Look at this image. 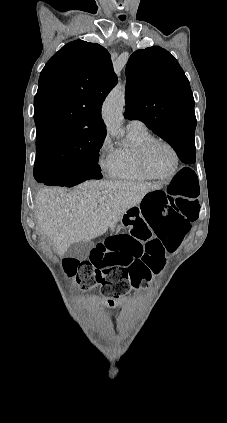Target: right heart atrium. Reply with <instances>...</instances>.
<instances>
[{"label": "right heart atrium", "mask_w": 227, "mask_h": 423, "mask_svg": "<svg viewBox=\"0 0 227 423\" xmlns=\"http://www.w3.org/2000/svg\"><path fill=\"white\" fill-rule=\"evenodd\" d=\"M97 164L103 173L112 175L115 166L114 149L108 136H104L99 144Z\"/></svg>", "instance_id": "right-heart-atrium-1"}]
</instances>
